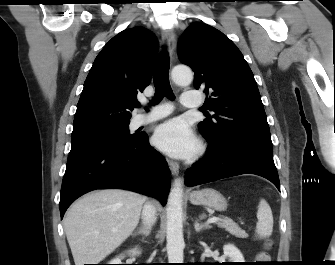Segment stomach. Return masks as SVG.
Instances as JSON below:
<instances>
[{"instance_id":"obj_1","label":"stomach","mask_w":335,"mask_h":265,"mask_svg":"<svg viewBox=\"0 0 335 265\" xmlns=\"http://www.w3.org/2000/svg\"><path fill=\"white\" fill-rule=\"evenodd\" d=\"M189 200L194 205L207 206L217 211H223L227 208L224 196L214 189L193 191L189 195Z\"/></svg>"}]
</instances>
